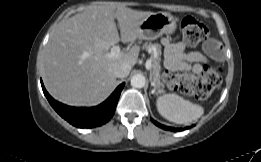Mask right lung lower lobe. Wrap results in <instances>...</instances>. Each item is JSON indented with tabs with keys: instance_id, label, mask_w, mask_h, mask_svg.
Wrapping results in <instances>:
<instances>
[{
	"instance_id": "right-lung-lower-lobe-1",
	"label": "right lung lower lobe",
	"mask_w": 261,
	"mask_h": 162,
	"mask_svg": "<svg viewBox=\"0 0 261 162\" xmlns=\"http://www.w3.org/2000/svg\"><path fill=\"white\" fill-rule=\"evenodd\" d=\"M41 86L43 92L54 108V110L66 121L78 128L98 127L108 122L114 115L118 99L124 87L120 84L109 98L96 107H71L54 100L46 91L42 80Z\"/></svg>"
}]
</instances>
